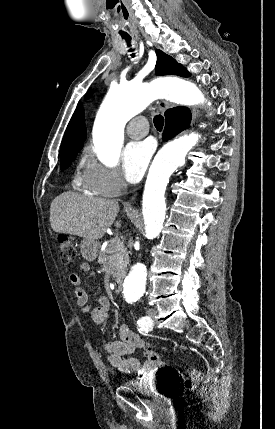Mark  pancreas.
Segmentation results:
<instances>
[{
  "instance_id": "obj_1",
  "label": "pancreas",
  "mask_w": 275,
  "mask_h": 429,
  "mask_svg": "<svg viewBox=\"0 0 275 429\" xmlns=\"http://www.w3.org/2000/svg\"><path fill=\"white\" fill-rule=\"evenodd\" d=\"M126 253L120 241L112 240L104 251H101L98 257V263L103 265L113 277L126 266Z\"/></svg>"
}]
</instances>
